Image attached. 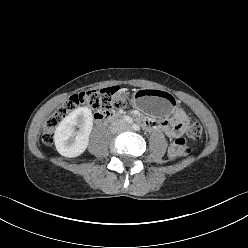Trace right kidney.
Listing matches in <instances>:
<instances>
[{
    "mask_svg": "<svg viewBox=\"0 0 248 248\" xmlns=\"http://www.w3.org/2000/svg\"><path fill=\"white\" fill-rule=\"evenodd\" d=\"M79 126V130L76 127ZM93 126L92 112L87 107L72 111L57 126L54 141L57 151L65 157L73 158L85 152Z\"/></svg>",
    "mask_w": 248,
    "mask_h": 248,
    "instance_id": "ca27d5eb",
    "label": "right kidney"
}]
</instances>
